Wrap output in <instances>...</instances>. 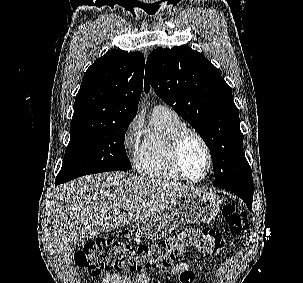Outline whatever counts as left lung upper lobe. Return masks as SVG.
<instances>
[{
  "label": "left lung upper lobe",
  "mask_w": 303,
  "mask_h": 283,
  "mask_svg": "<svg viewBox=\"0 0 303 283\" xmlns=\"http://www.w3.org/2000/svg\"><path fill=\"white\" fill-rule=\"evenodd\" d=\"M146 70V90L151 85L210 149L215 186L254 189L242 152L239 110L219 70L188 46L155 49L147 58Z\"/></svg>",
  "instance_id": "left-lung-upper-lobe-1"
}]
</instances>
